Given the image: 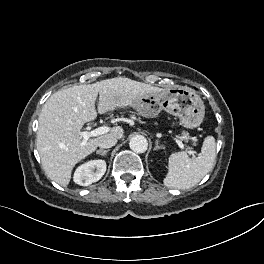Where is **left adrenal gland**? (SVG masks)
<instances>
[{
	"label": "left adrenal gland",
	"instance_id": "left-adrenal-gland-1",
	"mask_svg": "<svg viewBox=\"0 0 264 264\" xmlns=\"http://www.w3.org/2000/svg\"><path fill=\"white\" fill-rule=\"evenodd\" d=\"M159 149H164L163 146H160L159 143H158V140L155 141V148L154 150H159Z\"/></svg>",
	"mask_w": 264,
	"mask_h": 264
}]
</instances>
